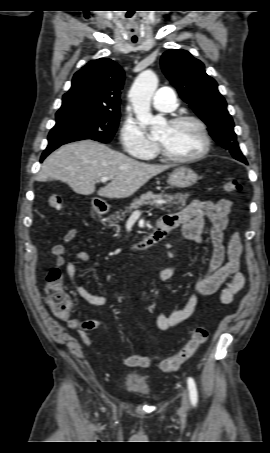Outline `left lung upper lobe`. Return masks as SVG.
<instances>
[{
  "mask_svg": "<svg viewBox=\"0 0 270 453\" xmlns=\"http://www.w3.org/2000/svg\"><path fill=\"white\" fill-rule=\"evenodd\" d=\"M161 68L177 88L181 98L207 125L209 134L232 156L247 163L239 149L234 123L216 81L204 70V64L186 50L171 49L161 57Z\"/></svg>",
  "mask_w": 270,
  "mask_h": 453,
  "instance_id": "5c2ea615",
  "label": "left lung upper lobe"
}]
</instances>
